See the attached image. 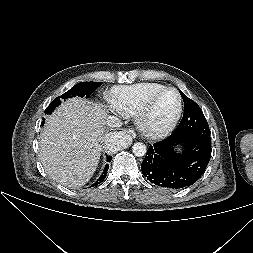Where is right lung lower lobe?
<instances>
[{"instance_id":"obj_1","label":"right lung lower lobe","mask_w":253,"mask_h":253,"mask_svg":"<svg viewBox=\"0 0 253 253\" xmlns=\"http://www.w3.org/2000/svg\"><path fill=\"white\" fill-rule=\"evenodd\" d=\"M111 159H112V157L107 155V162H110ZM108 168H109V165H106L105 168H104L103 173L101 174L99 179L92 186H96V185L100 184L105 179Z\"/></svg>"}]
</instances>
